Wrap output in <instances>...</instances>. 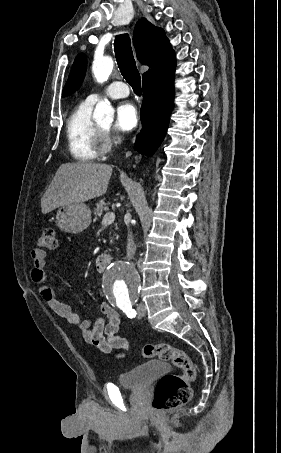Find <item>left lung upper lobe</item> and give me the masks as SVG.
<instances>
[{
	"instance_id": "obj_1",
	"label": "left lung upper lobe",
	"mask_w": 281,
	"mask_h": 453,
	"mask_svg": "<svg viewBox=\"0 0 281 453\" xmlns=\"http://www.w3.org/2000/svg\"><path fill=\"white\" fill-rule=\"evenodd\" d=\"M85 71L86 58L83 54H79L74 61L68 81L63 89V97L74 92L81 85L85 76Z\"/></svg>"
}]
</instances>
